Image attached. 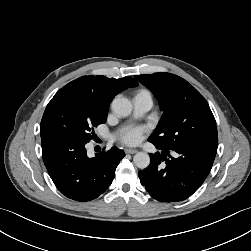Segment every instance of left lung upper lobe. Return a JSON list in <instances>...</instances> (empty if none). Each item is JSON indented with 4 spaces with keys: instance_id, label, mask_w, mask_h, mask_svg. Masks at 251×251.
<instances>
[{
    "instance_id": "left-lung-upper-lobe-1",
    "label": "left lung upper lobe",
    "mask_w": 251,
    "mask_h": 251,
    "mask_svg": "<svg viewBox=\"0 0 251 251\" xmlns=\"http://www.w3.org/2000/svg\"><path fill=\"white\" fill-rule=\"evenodd\" d=\"M158 99L164 114L149 141L165 149L195 142L218 143L215 118L205 98L170 73L136 75Z\"/></svg>"
}]
</instances>
